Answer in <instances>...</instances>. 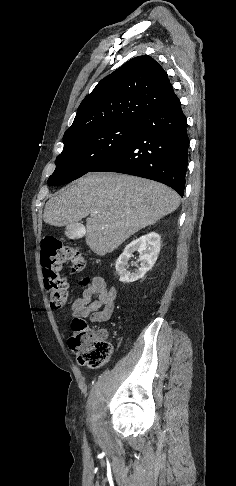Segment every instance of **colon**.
I'll list each match as a JSON object with an SVG mask.
<instances>
[{
	"mask_svg": "<svg viewBox=\"0 0 236 486\" xmlns=\"http://www.w3.org/2000/svg\"><path fill=\"white\" fill-rule=\"evenodd\" d=\"M70 262L74 273L85 270L86 260L78 247L63 245L55 238H47L41 247V264L44 285L53 309L63 308L68 300L67 283L59 272L64 263ZM88 279L80 282L86 285ZM70 349L78 361L92 368L103 366L111 356V345L98 331L91 330L83 318H74L71 324Z\"/></svg>",
	"mask_w": 236,
	"mask_h": 486,
	"instance_id": "5ec220e1",
	"label": "colon"
}]
</instances>
